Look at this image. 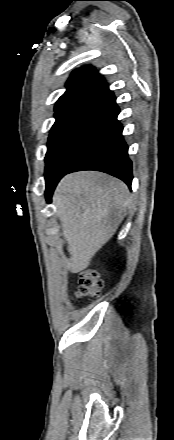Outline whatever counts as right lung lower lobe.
<instances>
[{
	"label": "right lung lower lobe",
	"mask_w": 174,
	"mask_h": 440,
	"mask_svg": "<svg viewBox=\"0 0 174 440\" xmlns=\"http://www.w3.org/2000/svg\"><path fill=\"white\" fill-rule=\"evenodd\" d=\"M98 99L100 106L92 131L83 150L65 174L97 170L113 175L131 187L132 162L122 136L123 126L117 120L120 110L115 96L108 90ZM58 182L46 186L45 196L49 203Z\"/></svg>",
	"instance_id": "1"
}]
</instances>
